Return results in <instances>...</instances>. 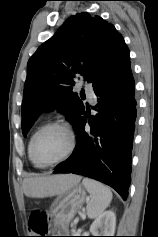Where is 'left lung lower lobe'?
<instances>
[{
  "mask_svg": "<svg viewBox=\"0 0 158 237\" xmlns=\"http://www.w3.org/2000/svg\"><path fill=\"white\" fill-rule=\"evenodd\" d=\"M97 111L88 120L85 109L76 131V148L54 173H74L101 181L126 200L131 182L133 135L136 121L135 82L130 61L94 89Z\"/></svg>",
  "mask_w": 158,
  "mask_h": 237,
  "instance_id": "left-lung-lower-lobe-1",
  "label": "left lung lower lobe"
}]
</instances>
